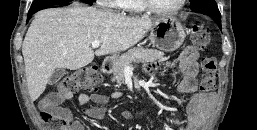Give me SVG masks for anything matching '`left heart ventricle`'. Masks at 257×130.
Instances as JSON below:
<instances>
[{
	"label": "left heart ventricle",
	"mask_w": 257,
	"mask_h": 130,
	"mask_svg": "<svg viewBox=\"0 0 257 130\" xmlns=\"http://www.w3.org/2000/svg\"><path fill=\"white\" fill-rule=\"evenodd\" d=\"M181 0H152L154 5L162 9L175 8Z\"/></svg>",
	"instance_id": "left-heart-ventricle-1"
}]
</instances>
